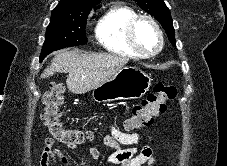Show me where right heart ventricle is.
Returning a JSON list of instances; mask_svg holds the SVG:
<instances>
[{
    "label": "right heart ventricle",
    "mask_w": 227,
    "mask_h": 166,
    "mask_svg": "<svg viewBox=\"0 0 227 166\" xmlns=\"http://www.w3.org/2000/svg\"><path fill=\"white\" fill-rule=\"evenodd\" d=\"M137 12L128 5L116 3L111 5L98 19L95 36L107 52L131 58H140L129 45L126 27Z\"/></svg>",
    "instance_id": "1"
}]
</instances>
